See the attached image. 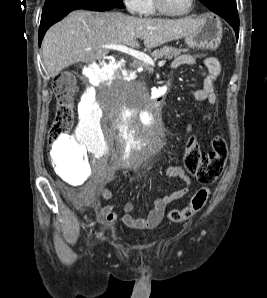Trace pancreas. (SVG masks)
I'll use <instances>...</instances> for the list:
<instances>
[{
  "mask_svg": "<svg viewBox=\"0 0 267 298\" xmlns=\"http://www.w3.org/2000/svg\"><path fill=\"white\" fill-rule=\"evenodd\" d=\"M186 49H180V48H175V47H169V46H164L160 49L155 50L151 56L158 59V58H163L165 57L166 59H172L173 57H176L180 55L182 52H185ZM134 68H138L140 66L150 70V67L148 64H146L143 61L140 60H135L132 64Z\"/></svg>",
  "mask_w": 267,
  "mask_h": 298,
  "instance_id": "obj_1",
  "label": "pancreas"
}]
</instances>
